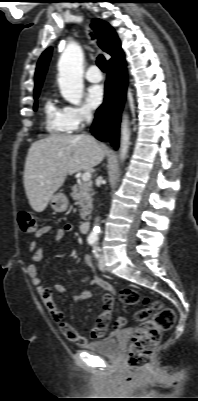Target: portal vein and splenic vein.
<instances>
[{
	"instance_id": "1",
	"label": "portal vein and splenic vein",
	"mask_w": 198,
	"mask_h": 401,
	"mask_svg": "<svg viewBox=\"0 0 198 401\" xmlns=\"http://www.w3.org/2000/svg\"><path fill=\"white\" fill-rule=\"evenodd\" d=\"M90 179H91V174H90V172H85V173H83V175H82V181H83V182H88V181H90Z\"/></svg>"
}]
</instances>
